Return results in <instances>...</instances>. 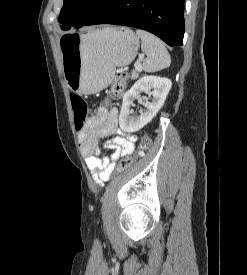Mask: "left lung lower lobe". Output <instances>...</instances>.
Segmentation results:
<instances>
[{
    "instance_id": "0a47b994",
    "label": "left lung lower lobe",
    "mask_w": 247,
    "mask_h": 275,
    "mask_svg": "<svg viewBox=\"0 0 247 275\" xmlns=\"http://www.w3.org/2000/svg\"><path fill=\"white\" fill-rule=\"evenodd\" d=\"M183 14L184 0H106L83 26H131L155 34L170 46H180L184 36Z\"/></svg>"
}]
</instances>
